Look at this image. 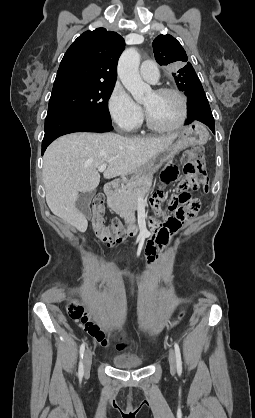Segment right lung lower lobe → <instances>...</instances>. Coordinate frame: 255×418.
<instances>
[{"label": "right lung lower lobe", "mask_w": 255, "mask_h": 418, "mask_svg": "<svg viewBox=\"0 0 255 418\" xmlns=\"http://www.w3.org/2000/svg\"><path fill=\"white\" fill-rule=\"evenodd\" d=\"M112 129V124L76 111H48L45 119V135L42 141V155L47 146L62 135L73 132H109Z\"/></svg>", "instance_id": "obj_1"}]
</instances>
